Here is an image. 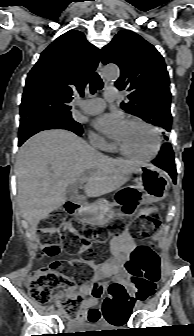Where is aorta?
Masks as SVG:
<instances>
[{"mask_svg":"<svg viewBox=\"0 0 194 336\" xmlns=\"http://www.w3.org/2000/svg\"><path fill=\"white\" fill-rule=\"evenodd\" d=\"M103 76L109 81L116 80L119 77V68L116 65H107L103 68Z\"/></svg>","mask_w":194,"mask_h":336,"instance_id":"1","label":"aorta"}]
</instances>
